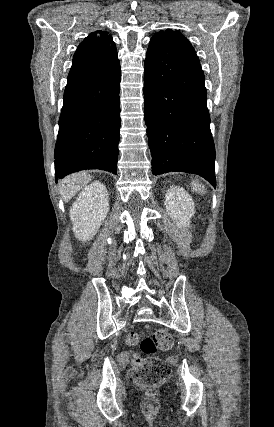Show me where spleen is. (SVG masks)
<instances>
[{"instance_id": "spleen-1", "label": "spleen", "mask_w": 274, "mask_h": 427, "mask_svg": "<svg viewBox=\"0 0 274 427\" xmlns=\"http://www.w3.org/2000/svg\"><path fill=\"white\" fill-rule=\"evenodd\" d=\"M202 184H199V182H192V190H194V192H198V194H202V188H201ZM204 194V192H203Z\"/></svg>"}]
</instances>
